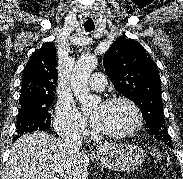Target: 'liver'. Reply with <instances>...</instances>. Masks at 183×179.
Here are the masks:
<instances>
[{"label":"liver","instance_id":"liver-1","mask_svg":"<svg viewBox=\"0 0 183 179\" xmlns=\"http://www.w3.org/2000/svg\"><path fill=\"white\" fill-rule=\"evenodd\" d=\"M89 159L72 154L63 141L45 132L18 138L10 150L3 179H87Z\"/></svg>","mask_w":183,"mask_h":179}]
</instances>
